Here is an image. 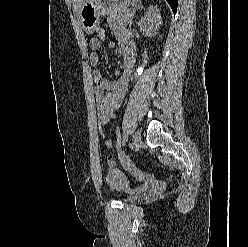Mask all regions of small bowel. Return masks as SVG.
Masks as SVG:
<instances>
[{"label": "small bowel", "mask_w": 248, "mask_h": 247, "mask_svg": "<svg viewBox=\"0 0 248 247\" xmlns=\"http://www.w3.org/2000/svg\"><path fill=\"white\" fill-rule=\"evenodd\" d=\"M104 41V35L94 37L90 40V48L92 52L89 56L91 65H97L100 62V54L98 50ZM120 51L123 54L124 62L121 76L118 80L112 81L104 77L100 70L93 71V79L96 85L95 98L98 107V117L100 121V134L104 138L105 146L108 149L113 148L112 141L106 137L105 126L113 121L116 117V110L122 104L129 88L133 65L135 63V52L133 44L129 37L124 33L119 35ZM113 46V43H110ZM106 164L109 168H114L116 159L112 155L106 158Z\"/></svg>", "instance_id": "obj_1"}]
</instances>
